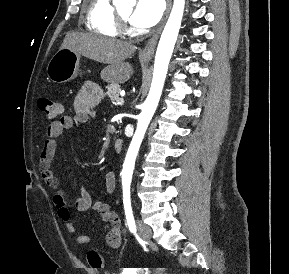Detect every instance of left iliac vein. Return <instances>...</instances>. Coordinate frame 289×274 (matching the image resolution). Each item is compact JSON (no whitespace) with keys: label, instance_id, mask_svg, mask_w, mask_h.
<instances>
[{"label":"left iliac vein","instance_id":"obj_1","mask_svg":"<svg viewBox=\"0 0 289 274\" xmlns=\"http://www.w3.org/2000/svg\"><path fill=\"white\" fill-rule=\"evenodd\" d=\"M137 229H138L140 237L144 241H150L151 240L152 230L150 229L149 226L141 223L140 221H137Z\"/></svg>","mask_w":289,"mask_h":274}]
</instances>
